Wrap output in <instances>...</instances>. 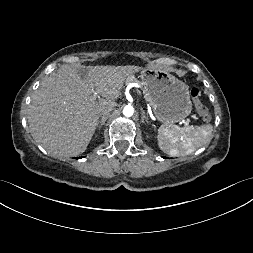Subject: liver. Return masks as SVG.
<instances>
[{
	"instance_id": "obj_1",
	"label": "liver",
	"mask_w": 253,
	"mask_h": 253,
	"mask_svg": "<svg viewBox=\"0 0 253 253\" xmlns=\"http://www.w3.org/2000/svg\"><path fill=\"white\" fill-rule=\"evenodd\" d=\"M136 66H64L32 97L28 124L33 139L50 153L77 156L94 135L100 110L115 102ZM96 92L102 97H92Z\"/></svg>"
}]
</instances>
